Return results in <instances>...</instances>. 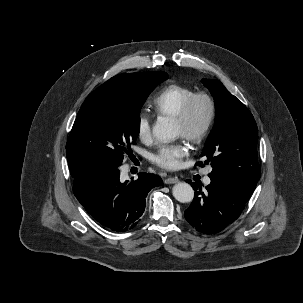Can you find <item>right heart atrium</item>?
<instances>
[{"label":"right heart atrium","mask_w":303,"mask_h":303,"mask_svg":"<svg viewBox=\"0 0 303 303\" xmlns=\"http://www.w3.org/2000/svg\"><path fill=\"white\" fill-rule=\"evenodd\" d=\"M137 136L142 142H149L152 138L151 120L146 113H140L136 122Z\"/></svg>","instance_id":"d8ad5b80"}]
</instances>
